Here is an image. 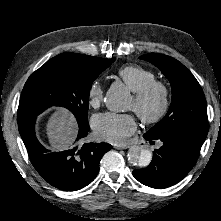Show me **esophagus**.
I'll use <instances>...</instances> for the list:
<instances>
[{
  "label": "esophagus",
  "instance_id": "esophagus-1",
  "mask_svg": "<svg viewBox=\"0 0 221 221\" xmlns=\"http://www.w3.org/2000/svg\"><path fill=\"white\" fill-rule=\"evenodd\" d=\"M129 147H130V145H116L115 148L121 150V149H127Z\"/></svg>",
  "mask_w": 221,
  "mask_h": 221
}]
</instances>
